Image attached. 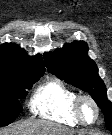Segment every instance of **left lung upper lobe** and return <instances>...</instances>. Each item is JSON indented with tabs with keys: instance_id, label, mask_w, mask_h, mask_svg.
<instances>
[{
	"instance_id": "obj_1",
	"label": "left lung upper lobe",
	"mask_w": 112,
	"mask_h": 135,
	"mask_svg": "<svg viewBox=\"0 0 112 135\" xmlns=\"http://www.w3.org/2000/svg\"><path fill=\"white\" fill-rule=\"evenodd\" d=\"M44 61L50 73L93 97L105 116L107 129L112 132V103L107 100L106 87L95 62L88 56L87 43L74 41L65 44L53 53H45Z\"/></svg>"
}]
</instances>
